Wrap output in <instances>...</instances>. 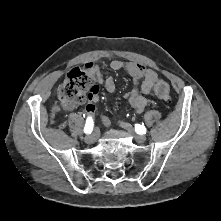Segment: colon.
Returning <instances> with one entry per match:
<instances>
[{
    "label": "colon",
    "mask_w": 221,
    "mask_h": 221,
    "mask_svg": "<svg viewBox=\"0 0 221 221\" xmlns=\"http://www.w3.org/2000/svg\"><path fill=\"white\" fill-rule=\"evenodd\" d=\"M90 85H93V82L89 73L80 68H73L60 86L59 97L62 101L82 103ZM154 92L157 97L167 100L170 94L169 84L165 81L157 82Z\"/></svg>",
    "instance_id": "obj_1"
}]
</instances>
